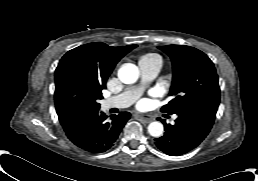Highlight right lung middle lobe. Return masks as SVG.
Segmentation results:
<instances>
[{
    "mask_svg": "<svg viewBox=\"0 0 258 181\" xmlns=\"http://www.w3.org/2000/svg\"><path fill=\"white\" fill-rule=\"evenodd\" d=\"M102 90L95 88L75 70H66L56 82V111L71 108L96 109L100 107Z\"/></svg>",
    "mask_w": 258,
    "mask_h": 181,
    "instance_id": "1",
    "label": "right lung middle lobe"
}]
</instances>
